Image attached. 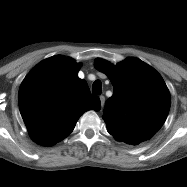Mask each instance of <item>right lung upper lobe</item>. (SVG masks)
<instances>
[{
    "instance_id": "1",
    "label": "right lung upper lobe",
    "mask_w": 187,
    "mask_h": 187,
    "mask_svg": "<svg viewBox=\"0 0 187 187\" xmlns=\"http://www.w3.org/2000/svg\"><path fill=\"white\" fill-rule=\"evenodd\" d=\"M80 66L72 58L58 55L41 61L23 80L19 109L36 143L54 145L72 132L84 112L100 110V99L78 77Z\"/></svg>"
}]
</instances>
